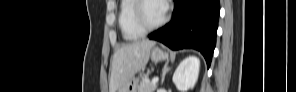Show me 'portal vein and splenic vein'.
<instances>
[{
  "instance_id": "18ae733b",
  "label": "portal vein and splenic vein",
  "mask_w": 296,
  "mask_h": 92,
  "mask_svg": "<svg viewBox=\"0 0 296 92\" xmlns=\"http://www.w3.org/2000/svg\"><path fill=\"white\" fill-rule=\"evenodd\" d=\"M159 81V77H155L152 79V83L155 84V83H158Z\"/></svg>"
}]
</instances>
